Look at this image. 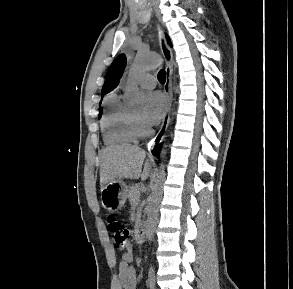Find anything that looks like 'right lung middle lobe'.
Returning <instances> with one entry per match:
<instances>
[{
    "mask_svg": "<svg viewBox=\"0 0 293 289\" xmlns=\"http://www.w3.org/2000/svg\"><path fill=\"white\" fill-rule=\"evenodd\" d=\"M100 116H101V113H99V118H100Z\"/></svg>",
    "mask_w": 293,
    "mask_h": 289,
    "instance_id": "right-lung-middle-lobe-1",
    "label": "right lung middle lobe"
}]
</instances>
